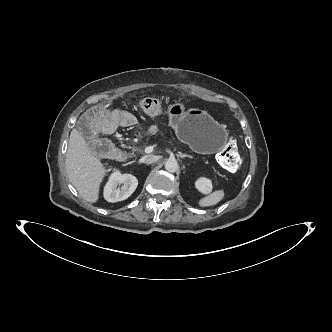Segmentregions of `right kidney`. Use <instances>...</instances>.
Returning a JSON list of instances; mask_svg holds the SVG:
<instances>
[{"instance_id":"1","label":"right kidney","mask_w":332,"mask_h":332,"mask_svg":"<svg viewBox=\"0 0 332 332\" xmlns=\"http://www.w3.org/2000/svg\"><path fill=\"white\" fill-rule=\"evenodd\" d=\"M137 186L138 180L135 176L114 171L105 185L104 198L112 203L123 201L132 195Z\"/></svg>"}]
</instances>
